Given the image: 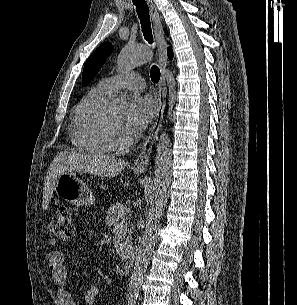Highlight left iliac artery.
<instances>
[{"instance_id":"obj_1","label":"left iliac artery","mask_w":297,"mask_h":305,"mask_svg":"<svg viewBox=\"0 0 297 305\" xmlns=\"http://www.w3.org/2000/svg\"><path fill=\"white\" fill-rule=\"evenodd\" d=\"M136 300H137V296L136 295H131L129 297L128 305H136Z\"/></svg>"}]
</instances>
